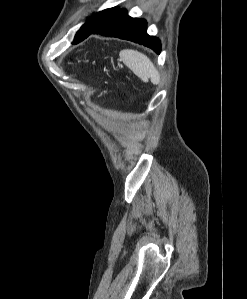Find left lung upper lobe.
Instances as JSON below:
<instances>
[{"mask_svg": "<svg viewBox=\"0 0 247 299\" xmlns=\"http://www.w3.org/2000/svg\"><path fill=\"white\" fill-rule=\"evenodd\" d=\"M118 8H110L105 9L103 11L97 12L94 15H92L87 21L83 24V26L80 28V30L77 32L74 43L79 41L85 34L90 32L91 30L95 29L97 26H99L102 22H104L107 18H109L111 15H113Z\"/></svg>", "mask_w": 247, "mask_h": 299, "instance_id": "left-lung-upper-lobe-1", "label": "left lung upper lobe"}]
</instances>
